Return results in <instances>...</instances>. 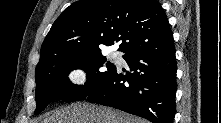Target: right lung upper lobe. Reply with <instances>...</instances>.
Masks as SVG:
<instances>
[{
	"label": "right lung upper lobe",
	"mask_w": 221,
	"mask_h": 123,
	"mask_svg": "<svg viewBox=\"0 0 221 123\" xmlns=\"http://www.w3.org/2000/svg\"><path fill=\"white\" fill-rule=\"evenodd\" d=\"M172 36L157 0H84L67 7L41 46L43 65L62 57L101 50L122 41L119 51L157 43Z\"/></svg>",
	"instance_id": "obj_1"
}]
</instances>
